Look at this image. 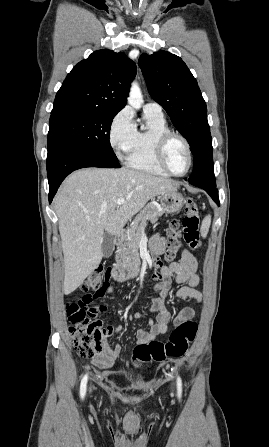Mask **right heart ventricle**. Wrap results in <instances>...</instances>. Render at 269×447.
<instances>
[{
	"instance_id": "right-heart-ventricle-1",
	"label": "right heart ventricle",
	"mask_w": 269,
	"mask_h": 447,
	"mask_svg": "<svg viewBox=\"0 0 269 447\" xmlns=\"http://www.w3.org/2000/svg\"><path fill=\"white\" fill-rule=\"evenodd\" d=\"M146 125L135 130L132 146L127 156V164L135 169L158 175H169L156 158V140L171 129L163 117L144 112Z\"/></svg>"
}]
</instances>
